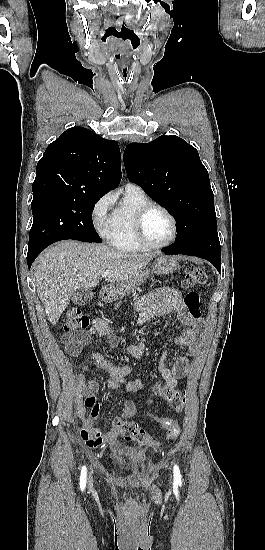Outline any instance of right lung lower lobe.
Returning <instances> with one entry per match:
<instances>
[{
	"mask_svg": "<svg viewBox=\"0 0 265 550\" xmlns=\"http://www.w3.org/2000/svg\"><path fill=\"white\" fill-rule=\"evenodd\" d=\"M42 250L40 251H37V252H34V253H28L27 255V263H28V268L30 269L33 261L36 259V257L40 254Z\"/></svg>",
	"mask_w": 265,
	"mask_h": 550,
	"instance_id": "1",
	"label": "right lung lower lobe"
}]
</instances>
